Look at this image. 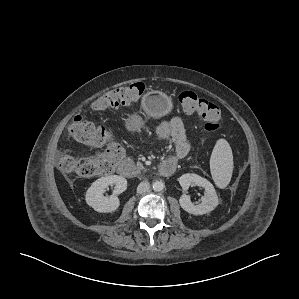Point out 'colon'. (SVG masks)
<instances>
[{
    "instance_id": "1",
    "label": "colon",
    "mask_w": 299,
    "mask_h": 299,
    "mask_svg": "<svg viewBox=\"0 0 299 299\" xmlns=\"http://www.w3.org/2000/svg\"><path fill=\"white\" fill-rule=\"evenodd\" d=\"M144 92V85L140 82L119 87L98 97L92 107L96 111L118 109L121 106L137 102ZM182 109L189 114H197L204 121V129L214 132L221 125L220 108L213 102L201 98L192 91H183L179 95ZM69 134L76 141L103 151L85 157L71 155L63 156L59 167L67 173H76L82 177L107 175L114 171L116 165L124 156V148L116 141L108 129L78 115L68 128Z\"/></svg>"
}]
</instances>
